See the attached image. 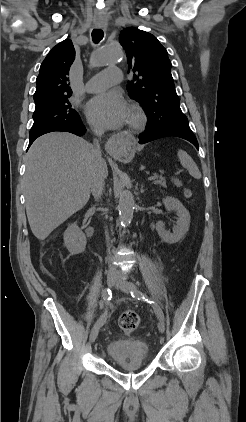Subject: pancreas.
<instances>
[{
	"mask_svg": "<svg viewBox=\"0 0 246 422\" xmlns=\"http://www.w3.org/2000/svg\"><path fill=\"white\" fill-rule=\"evenodd\" d=\"M154 176H155V179H154L155 184H158V185H161V186L166 185V181L162 177H159L158 175H154Z\"/></svg>",
	"mask_w": 246,
	"mask_h": 422,
	"instance_id": "obj_1",
	"label": "pancreas"
}]
</instances>
